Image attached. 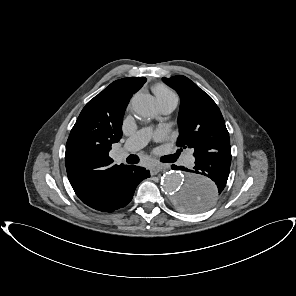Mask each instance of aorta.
Segmentation results:
<instances>
[{"mask_svg":"<svg viewBox=\"0 0 296 296\" xmlns=\"http://www.w3.org/2000/svg\"><path fill=\"white\" fill-rule=\"evenodd\" d=\"M153 108L152 97L147 93L139 92L131 99L132 111L141 118L149 117ZM161 187L167 200L186 213L207 212L219 198L218 186L211 177L185 170L166 172Z\"/></svg>","mask_w":296,"mask_h":296,"instance_id":"762f6f07","label":"aorta"}]
</instances>
